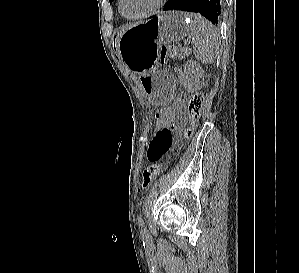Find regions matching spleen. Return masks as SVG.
<instances>
[{"label": "spleen", "mask_w": 299, "mask_h": 273, "mask_svg": "<svg viewBox=\"0 0 299 273\" xmlns=\"http://www.w3.org/2000/svg\"><path fill=\"white\" fill-rule=\"evenodd\" d=\"M186 22L193 35V53L203 64H211L218 53L219 34L207 19L196 13H186Z\"/></svg>", "instance_id": "1"}]
</instances>
